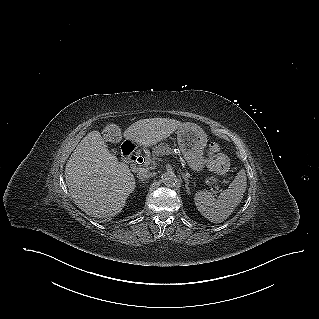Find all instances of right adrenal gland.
I'll return each mask as SVG.
<instances>
[{
    "label": "right adrenal gland",
    "mask_w": 319,
    "mask_h": 319,
    "mask_svg": "<svg viewBox=\"0 0 319 319\" xmlns=\"http://www.w3.org/2000/svg\"><path fill=\"white\" fill-rule=\"evenodd\" d=\"M139 182H140V183H141V182L145 183V180H144V179H141V180H139Z\"/></svg>",
    "instance_id": "2a0ac1e0"
}]
</instances>
